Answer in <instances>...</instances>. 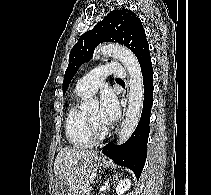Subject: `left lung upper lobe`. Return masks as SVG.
<instances>
[{
    "label": "left lung upper lobe",
    "mask_w": 211,
    "mask_h": 195,
    "mask_svg": "<svg viewBox=\"0 0 211 195\" xmlns=\"http://www.w3.org/2000/svg\"><path fill=\"white\" fill-rule=\"evenodd\" d=\"M103 42L125 45L136 55L140 65L150 58L145 30L138 16L130 10L111 11L73 46L63 81L64 94L79 67L93 56L95 47Z\"/></svg>",
    "instance_id": "left-lung-upper-lobe-1"
}]
</instances>
